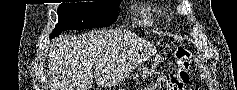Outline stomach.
I'll list each match as a JSON object with an SVG mask.
<instances>
[{
    "instance_id": "obj_1",
    "label": "stomach",
    "mask_w": 237,
    "mask_h": 90,
    "mask_svg": "<svg viewBox=\"0 0 237 90\" xmlns=\"http://www.w3.org/2000/svg\"><path fill=\"white\" fill-rule=\"evenodd\" d=\"M139 72H140V74H141V76H142L143 78H146L147 76H149V75L152 74L153 69H152V68L149 69L148 66H143V67L139 70Z\"/></svg>"
}]
</instances>
